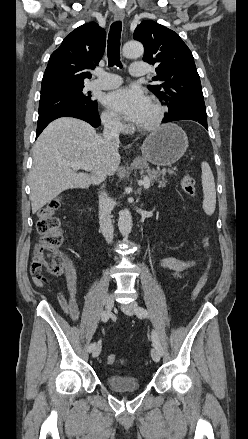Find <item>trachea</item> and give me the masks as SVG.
I'll use <instances>...</instances> for the list:
<instances>
[{"label": "trachea", "instance_id": "obj_1", "mask_svg": "<svg viewBox=\"0 0 248 439\" xmlns=\"http://www.w3.org/2000/svg\"><path fill=\"white\" fill-rule=\"evenodd\" d=\"M121 31H122L121 21L114 22L110 27V31L108 35V46H107L108 63L110 67L114 65L122 67L120 62Z\"/></svg>", "mask_w": 248, "mask_h": 439}]
</instances>
